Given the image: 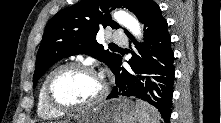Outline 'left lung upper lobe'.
Segmentation results:
<instances>
[{
  "label": "left lung upper lobe",
  "instance_id": "1",
  "mask_svg": "<svg viewBox=\"0 0 221 123\" xmlns=\"http://www.w3.org/2000/svg\"><path fill=\"white\" fill-rule=\"evenodd\" d=\"M153 0H82L58 12L48 22L36 57L33 88L38 79L60 59L78 54L97 58L113 68L120 55L104 50L96 41L100 28L120 26L111 19L110 11L126 8L139 19L144 9ZM125 33L128 31L125 29Z\"/></svg>",
  "mask_w": 221,
  "mask_h": 123
}]
</instances>
